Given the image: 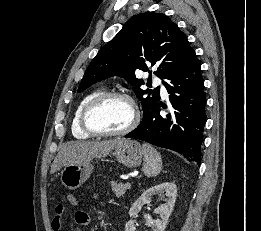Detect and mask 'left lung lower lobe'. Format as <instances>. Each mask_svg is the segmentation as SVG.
Returning a JSON list of instances; mask_svg holds the SVG:
<instances>
[{
  "instance_id": "1",
  "label": "left lung lower lobe",
  "mask_w": 261,
  "mask_h": 231,
  "mask_svg": "<svg viewBox=\"0 0 261 231\" xmlns=\"http://www.w3.org/2000/svg\"><path fill=\"white\" fill-rule=\"evenodd\" d=\"M168 80L164 85L170 94V113L161 116L159 111L162 103L158 101L144 113L140 125L125 137L176 151L200 165L206 122V95L201 66L196 56Z\"/></svg>"
}]
</instances>
